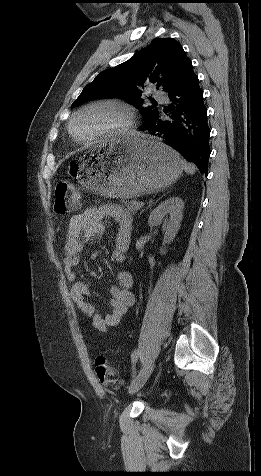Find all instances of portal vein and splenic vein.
I'll use <instances>...</instances> for the list:
<instances>
[{"label":"portal vein and splenic vein","instance_id":"1","mask_svg":"<svg viewBox=\"0 0 261 476\" xmlns=\"http://www.w3.org/2000/svg\"><path fill=\"white\" fill-rule=\"evenodd\" d=\"M144 204H145V203H144L143 201H140V202H139V205H140V206H144Z\"/></svg>","mask_w":261,"mask_h":476}]
</instances>
